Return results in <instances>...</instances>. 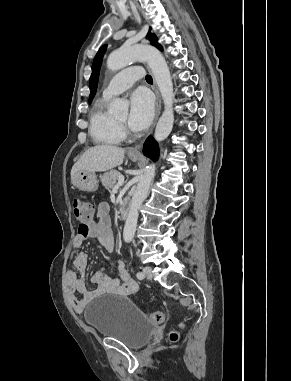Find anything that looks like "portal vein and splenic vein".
<instances>
[{
	"mask_svg": "<svg viewBox=\"0 0 291 381\" xmlns=\"http://www.w3.org/2000/svg\"><path fill=\"white\" fill-rule=\"evenodd\" d=\"M124 183V176L123 175H120L119 176V180H118V183L115 185V187L113 188V191H117L119 187H121Z\"/></svg>",
	"mask_w": 291,
	"mask_h": 381,
	"instance_id": "portal-vein-and-splenic-vein-1",
	"label": "portal vein and splenic vein"
}]
</instances>
